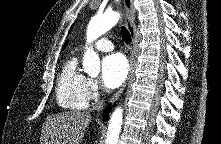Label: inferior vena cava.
Wrapping results in <instances>:
<instances>
[{"instance_id": "inferior-vena-cava-1", "label": "inferior vena cava", "mask_w": 221, "mask_h": 144, "mask_svg": "<svg viewBox=\"0 0 221 144\" xmlns=\"http://www.w3.org/2000/svg\"><path fill=\"white\" fill-rule=\"evenodd\" d=\"M106 92H108V90H106ZM103 106H104V100H100L98 102H96L93 107H92V110H96V111H100L103 109Z\"/></svg>"}]
</instances>
